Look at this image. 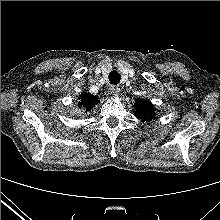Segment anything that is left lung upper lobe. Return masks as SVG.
Here are the masks:
<instances>
[{
	"instance_id": "5c2ea615",
	"label": "left lung upper lobe",
	"mask_w": 220,
	"mask_h": 220,
	"mask_svg": "<svg viewBox=\"0 0 220 220\" xmlns=\"http://www.w3.org/2000/svg\"><path fill=\"white\" fill-rule=\"evenodd\" d=\"M135 116L141 121H152L154 119V105L150 101L144 99H137L134 104Z\"/></svg>"
}]
</instances>
